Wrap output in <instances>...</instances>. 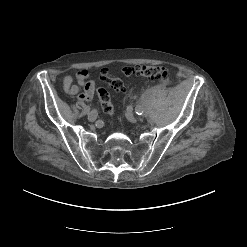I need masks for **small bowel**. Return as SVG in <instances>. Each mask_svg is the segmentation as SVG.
Returning a JSON list of instances; mask_svg holds the SVG:
<instances>
[{"instance_id":"obj_1","label":"small bowel","mask_w":247,"mask_h":247,"mask_svg":"<svg viewBox=\"0 0 247 247\" xmlns=\"http://www.w3.org/2000/svg\"><path fill=\"white\" fill-rule=\"evenodd\" d=\"M64 90L71 95H78L81 101H90L95 92V83L90 79V74L86 69L79 70L76 73V83L71 76H65L63 79Z\"/></svg>"}]
</instances>
